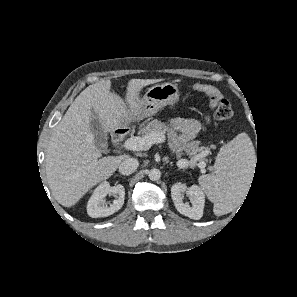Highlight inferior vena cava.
Returning <instances> with one entry per match:
<instances>
[{"instance_id": "obj_1", "label": "inferior vena cava", "mask_w": 297, "mask_h": 297, "mask_svg": "<svg viewBox=\"0 0 297 297\" xmlns=\"http://www.w3.org/2000/svg\"><path fill=\"white\" fill-rule=\"evenodd\" d=\"M139 162L135 158L128 157L119 165V172L123 175H130L138 168Z\"/></svg>"}]
</instances>
